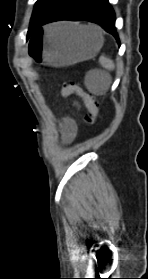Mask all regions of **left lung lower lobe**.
I'll list each match as a JSON object with an SVG mask.
<instances>
[{
  "label": "left lung lower lobe",
  "mask_w": 148,
  "mask_h": 279,
  "mask_svg": "<svg viewBox=\"0 0 148 279\" xmlns=\"http://www.w3.org/2000/svg\"><path fill=\"white\" fill-rule=\"evenodd\" d=\"M59 20H86L97 23L112 34L119 43L115 28V13L108 0H65L45 20L39 23L36 30L44 24Z\"/></svg>",
  "instance_id": "obj_1"
}]
</instances>
